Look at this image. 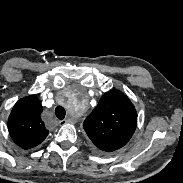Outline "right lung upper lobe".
<instances>
[{
  "label": "right lung upper lobe",
  "instance_id": "obj_1",
  "mask_svg": "<svg viewBox=\"0 0 183 183\" xmlns=\"http://www.w3.org/2000/svg\"><path fill=\"white\" fill-rule=\"evenodd\" d=\"M43 107L36 95L20 99L8 119V130L13 141L24 149L40 144L48 135L41 121Z\"/></svg>",
  "mask_w": 183,
  "mask_h": 183
}]
</instances>
